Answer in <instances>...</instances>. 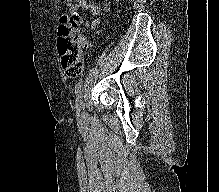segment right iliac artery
I'll return each instance as SVG.
<instances>
[{"mask_svg": "<svg viewBox=\"0 0 219 192\" xmlns=\"http://www.w3.org/2000/svg\"><path fill=\"white\" fill-rule=\"evenodd\" d=\"M82 86L78 85L76 87V113L79 119L82 118L81 109H82Z\"/></svg>", "mask_w": 219, "mask_h": 192, "instance_id": "obj_1", "label": "right iliac artery"}]
</instances>
